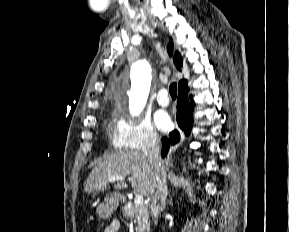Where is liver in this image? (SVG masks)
Masks as SVG:
<instances>
[{
	"mask_svg": "<svg viewBox=\"0 0 289 232\" xmlns=\"http://www.w3.org/2000/svg\"><path fill=\"white\" fill-rule=\"evenodd\" d=\"M131 176L134 191L150 197L153 191L154 167L145 154L136 151L122 152L100 161L89 174L84 191L86 193L104 192L109 188L108 178L111 176ZM125 183H117L114 189L123 187Z\"/></svg>",
	"mask_w": 289,
	"mask_h": 232,
	"instance_id": "6515ba94",
	"label": "liver"
}]
</instances>
